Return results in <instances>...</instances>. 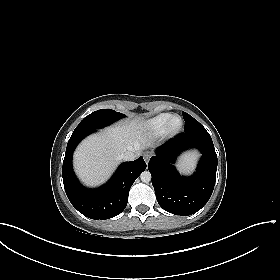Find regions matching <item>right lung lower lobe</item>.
<instances>
[{"label":"right lung lower lobe","instance_id":"right-lung-lower-lobe-1","mask_svg":"<svg viewBox=\"0 0 280 280\" xmlns=\"http://www.w3.org/2000/svg\"><path fill=\"white\" fill-rule=\"evenodd\" d=\"M90 133L72 135L68 141L62 168L64 189L71 204L81 214L94 220H105L119 215L125 209L129 190L135 179L146 169V163L142 157L124 162L102 187H83L74 175L72 156L78 143Z\"/></svg>","mask_w":280,"mask_h":280}]
</instances>
